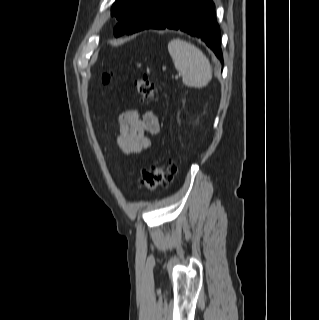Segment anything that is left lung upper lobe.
Returning <instances> with one entry per match:
<instances>
[{"instance_id":"left-lung-upper-lobe-1","label":"left lung upper lobe","mask_w":319,"mask_h":320,"mask_svg":"<svg viewBox=\"0 0 319 320\" xmlns=\"http://www.w3.org/2000/svg\"><path fill=\"white\" fill-rule=\"evenodd\" d=\"M157 0H116L111 15L118 19L114 35L120 36L128 31L132 24Z\"/></svg>"}]
</instances>
